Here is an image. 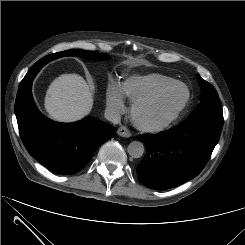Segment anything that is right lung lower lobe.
I'll list each match as a JSON object with an SVG mask.
<instances>
[{
  "instance_id": "98d812e1",
  "label": "right lung lower lobe",
  "mask_w": 245,
  "mask_h": 245,
  "mask_svg": "<svg viewBox=\"0 0 245 245\" xmlns=\"http://www.w3.org/2000/svg\"><path fill=\"white\" fill-rule=\"evenodd\" d=\"M32 81L18 90L15 114L22 141L35 159L63 175L79 172L96 149L110 139L114 127L93 117L74 123H58L45 117L35 105Z\"/></svg>"
}]
</instances>
